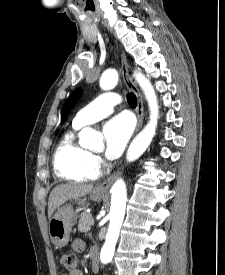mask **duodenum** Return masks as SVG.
Listing matches in <instances>:
<instances>
[{
    "label": "duodenum",
    "mask_w": 225,
    "mask_h": 275,
    "mask_svg": "<svg viewBox=\"0 0 225 275\" xmlns=\"http://www.w3.org/2000/svg\"><path fill=\"white\" fill-rule=\"evenodd\" d=\"M91 265H92L93 271H98V263H97V260H96V253L95 252H93V254H92Z\"/></svg>",
    "instance_id": "410a0bca"
}]
</instances>
